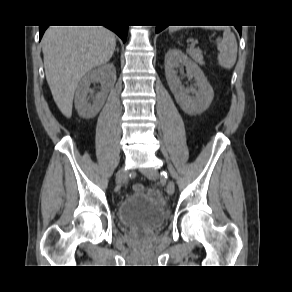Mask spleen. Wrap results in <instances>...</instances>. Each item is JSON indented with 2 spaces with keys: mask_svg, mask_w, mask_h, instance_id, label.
<instances>
[{
  "mask_svg": "<svg viewBox=\"0 0 292 292\" xmlns=\"http://www.w3.org/2000/svg\"><path fill=\"white\" fill-rule=\"evenodd\" d=\"M178 27H170L169 31L178 30ZM218 63L224 68L230 69L234 66L237 58V41L230 29H224L223 38L217 40Z\"/></svg>",
  "mask_w": 292,
  "mask_h": 292,
  "instance_id": "obj_1",
  "label": "spleen"
}]
</instances>
